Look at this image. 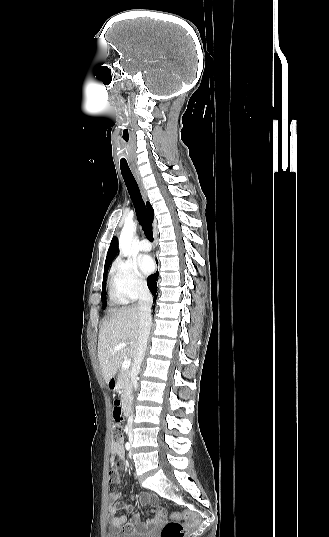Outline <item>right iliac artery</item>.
I'll list each match as a JSON object with an SVG mask.
<instances>
[{
	"instance_id": "1",
	"label": "right iliac artery",
	"mask_w": 329,
	"mask_h": 537,
	"mask_svg": "<svg viewBox=\"0 0 329 537\" xmlns=\"http://www.w3.org/2000/svg\"><path fill=\"white\" fill-rule=\"evenodd\" d=\"M125 447H126L127 450H130V447H131V446H130V443L127 442V443L125 444Z\"/></svg>"
}]
</instances>
